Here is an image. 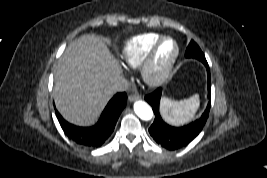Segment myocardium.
<instances>
[{"instance_id":"myocardium-1","label":"myocardium","mask_w":267,"mask_h":178,"mask_svg":"<svg viewBox=\"0 0 267 178\" xmlns=\"http://www.w3.org/2000/svg\"><path fill=\"white\" fill-rule=\"evenodd\" d=\"M170 40L175 45V52L170 61L158 72L153 70V65L157 56V53L161 45ZM180 45L179 43L171 36L161 37L151 48L145 59L140 65V73L143 81L150 87H158L162 85L170 77L179 57H180Z\"/></svg>"}]
</instances>
